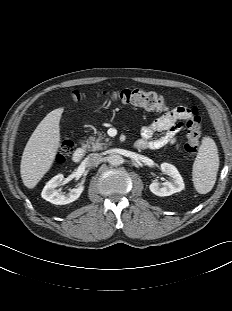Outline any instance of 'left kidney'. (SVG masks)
Returning a JSON list of instances; mask_svg holds the SVG:
<instances>
[{"label":"left kidney","instance_id":"1","mask_svg":"<svg viewBox=\"0 0 232 311\" xmlns=\"http://www.w3.org/2000/svg\"><path fill=\"white\" fill-rule=\"evenodd\" d=\"M160 168L164 174L170 176L171 180L164 182L162 187H160L157 182L151 183L149 189L153 194L160 197L170 196L176 192L182 191L185 188L183 178L174 165L162 163Z\"/></svg>","mask_w":232,"mask_h":311}]
</instances>
